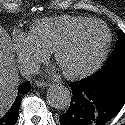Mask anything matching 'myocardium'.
Instances as JSON below:
<instances>
[{
	"label": "myocardium",
	"mask_w": 125,
	"mask_h": 125,
	"mask_svg": "<svg viewBox=\"0 0 125 125\" xmlns=\"http://www.w3.org/2000/svg\"><path fill=\"white\" fill-rule=\"evenodd\" d=\"M94 24L101 25L103 29L105 30L106 39H105L103 49L101 53L99 54V56L97 57V59L94 62H92L90 65L86 66L85 68L78 70L76 72H67V71L62 70L63 75L68 79H71V80L81 79V78H84L93 74L94 72H96L98 69L101 68L103 63L106 61L109 51H110V47L112 43L111 30L103 21L98 20V19H89L77 25L73 29H71L53 47L52 55H53L55 63L58 65L61 51L75 39V37L80 31Z\"/></svg>",
	"instance_id": "1"
}]
</instances>
